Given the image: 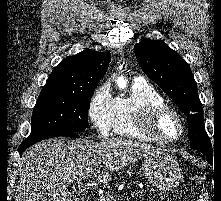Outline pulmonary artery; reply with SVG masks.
<instances>
[{"instance_id": "1", "label": "pulmonary artery", "mask_w": 221, "mask_h": 201, "mask_svg": "<svg viewBox=\"0 0 221 201\" xmlns=\"http://www.w3.org/2000/svg\"><path fill=\"white\" fill-rule=\"evenodd\" d=\"M136 81H143V78H137Z\"/></svg>"}]
</instances>
